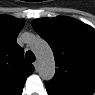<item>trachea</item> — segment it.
<instances>
[{"instance_id":"3493384b","label":"trachea","mask_w":95,"mask_h":95,"mask_svg":"<svg viewBox=\"0 0 95 95\" xmlns=\"http://www.w3.org/2000/svg\"><path fill=\"white\" fill-rule=\"evenodd\" d=\"M25 58H26V60L27 61H29V62H34L35 61V55H34V53L32 52V51H27L26 53H25Z\"/></svg>"}]
</instances>
